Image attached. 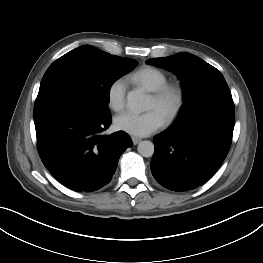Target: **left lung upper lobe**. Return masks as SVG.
<instances>
[{"instance_id": "5c2ea615", "label": "left lung upper lobe", "mask_w": 263, "mask_h": 263, "mask_svg": "<svg viewBox=\"0 0 263 263\" xmlns=\"http://www.w3.org/2000/svg\"><path fill=\"white\" fill-rule=\"evenodd\" d=\"M147 63L172 71L181 79L184 104L177 120H189L218 108H234L221 72L199 57L182 52L151 58Z\"/></svg>"}]
</instances>
